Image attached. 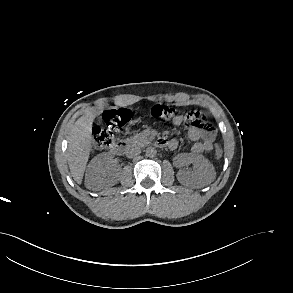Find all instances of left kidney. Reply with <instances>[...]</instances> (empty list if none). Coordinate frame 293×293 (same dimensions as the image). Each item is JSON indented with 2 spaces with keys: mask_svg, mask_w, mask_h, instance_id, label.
<instances>
[{
  "mask_svg": "<svg viewBox=\"0 0 293 293\" xmlns=\"http://www.w3.org/2000/svg\"><path fill=\"white\" fill-rule=\"evenodd\" d=\"M184 164H192L194 171L186 172L179 171L177 179L181 184H194L197 187H204L211 183L215 178V170L208 159L202 155H195L191 153L179 154Z\"/></svg>",
  "mask_w": 293,
  "mask_h": 293,
  "instance_id": "5707ae66",
  "label": "left kidney"
}]
</instances>
